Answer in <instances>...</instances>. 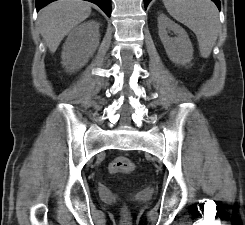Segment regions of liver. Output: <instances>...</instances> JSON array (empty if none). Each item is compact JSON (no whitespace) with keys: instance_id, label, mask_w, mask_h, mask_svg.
Wrapping results in <instances>:
<instances>
[{"instance_id":"liver-1","label":"liver","mask_w":245,"mask_h":225,"mask_svg":"<svg viewBox=\"0 0 245 225\" xmlns=\"http://www.w3.org/2000/svg\"><path fill=\"white\" fill-rule=\"evenodd\" d=\"M90 14V3L82 0H58L41 9L38 24L49 51L54 53L63 38Z\"/></svg>"}]
</instances>
